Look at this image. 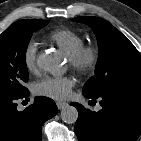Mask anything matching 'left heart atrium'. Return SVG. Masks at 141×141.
I'll list each match as a JSON object with an SVG mask.
<instances>
[{
  "instance_id": "left-heart-atrium-1",
  "label": "left heart atrium",
  "mask_w": 141,
  "mask_h": 141,
  "mask_svg": "<svg viewBox=\"0 0 141 141\" xmlns=\"http://www.w3.org/2000/svg\"><path fill=\"white\" fill-rule=\"evenodd\" d=\"M72 87L73 81L69 77L45 76L34 83L33 91L37 95L63 100L70 95Z\"/></svg>"
}]
</instances>
